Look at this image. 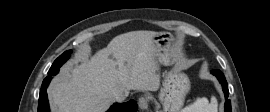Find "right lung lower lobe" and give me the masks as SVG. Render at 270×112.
<instances>
[{
    "instance_id": "98d812e1",
    "label": "right lung lower lobe",
    "mask_w": 270,
    "mask_h": 112,
    "mask_svg": "<svg viewBox=\"0 0 270 112\" xmlns=\"http://www.w3.org/2000/svg\"><path fill=\"white\" fill-rule=\"evenodd\" d=\"M53 75H48L42 83L40 94H39V104L38 112H49V103L47 98L46 89L52 79ZM137 104L134 100H130L126 103H115L107 112H136Z\"/></svg>"
}]
</instances>
